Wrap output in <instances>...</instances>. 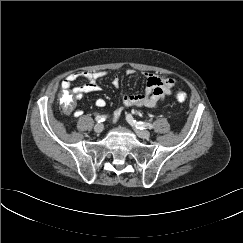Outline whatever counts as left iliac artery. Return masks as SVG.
<instances>
[{"label":"left iliac artery","instance_id":"obj_1","mask_svg":"<svg viewBox=\"0 0 243 243\" xmlns=\"http://www.w3.org/2000/svg\"><path fill=\"white\" fill-rule=\"evenodd\" d=\"M126 118H127L128 122L130 124L135 125L136 128H138V129H141V130H143L145 128L153 129V125L152 124L146 123V122H141V121L137 122L136 120H134V118L132 117L131 114H128Z\"/></svg>","mask_w":243,"mask_h":243}]
</instances>
